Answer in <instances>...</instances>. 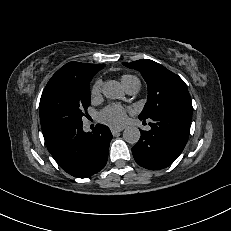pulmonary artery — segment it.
Returning a JSON list of instances; mask_svg holds the SVG:
<instances>
[{
	"label": "pulmonary artery",
	"mask_w": 231,
	"mask_h": 231,
	"mask_svg": "<svg viewBox=\"0 0 231 231\" xmlns=\"http://www.w3.org/2000/svg\"><path fill=\"white\" fill-rule=\"evenodd\" d=\"M125 89L128 94L134 95L140 89V82L137 78L132 79L126 86Z\"/></svg>",
	"instance_id": "1"
}]
</instances>
